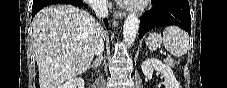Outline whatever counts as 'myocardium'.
Returning <instances> with one entry per match:
<instances>
[{
  "label": "myocardium",
  "mask_w": 227,
  "mask_h": 88,
  "mask_svg": "<svg viewBox=\"0 0 227 88\" xmlns=\"http://www.w3.org/2000/svg\"><path fill=\"white\" fill-rule=\"evenodd\" d=\"M144 2H147V1H144ZM143 6H144V4L141 3V4L136 5V6L134 7V9L140 10V9H142Z\"/></svg>",
  "instance_id": "f54148a6"
}]
</instances>
